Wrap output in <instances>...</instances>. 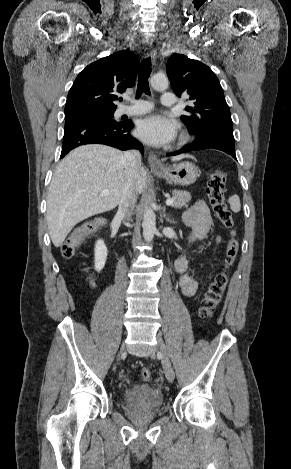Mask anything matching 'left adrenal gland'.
I'll return each instance as SVG.
<instances>
[{
	"label": "left adrenal gland",
	"instance_id": "1",
	"mask_svg": "<svg viewBox=\"0 0 291 469\" xmlns=\"http://www.w3.org/2000/svg\"><path fill=\"white\" fill-rule=\"evenodd\" d=\"M163 217H164L168 222H171V223L173 222V223H174V221L171 220V219L169 218V216H166L165 210H163Z\"/></svg>",
	"mask_w": 291,
	"mask_h": 469
}]
</instances>
